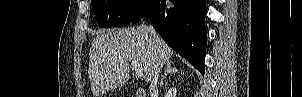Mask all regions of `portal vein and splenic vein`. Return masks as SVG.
Listing matches in <instances>:
<instances>
[{
  "mask_svg": "<svg viewBox=\"0 0 302 97\" xmlns=\"http://www.w3.org/2000/svg\"><path fill=\"white\" fill-rule=\"evenodd\" d=\"M131 65L133 69L135 70V73L138 77H142L144 75L143 67L135 60L131 61Z\"/></svg>",
  "mask_w": 302,
  "mask_h": 97,
  "instance_id": "portal-vein-and-splenic-vein-1",
  "label": "portal vein and splenic vein"
}]
</instances>
